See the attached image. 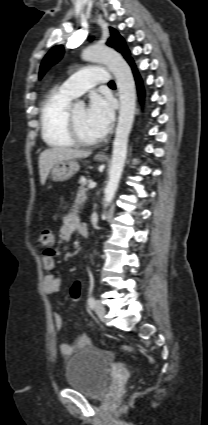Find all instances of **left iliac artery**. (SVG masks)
Instances as JSON below:
<instances>
[{
    "label": "left iliac artery",
    "mask_w": 208,
    "mask_h": 425,
    "mask_svg": "<svg viewBox=\"0 0 208 425\" xmlns=\"http://www.w3.org/2000/svg\"><path fill=\"white\" fill-rule=\"evenodd\" d=\"M95 306V298L93 296H90L88 299V307L90 309H93Z\"/></svg>",
    "instance_id": "44dca946"
}]
</instances>
